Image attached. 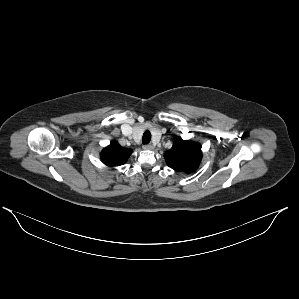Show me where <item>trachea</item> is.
Segmentation results:
<instances>
[{"instance_id":"3493384b","label":"trachea","mask_w":299,"mask_h":299,"mask_svg":"<svg viewBox=\"0 0 299 299\" xmlns=\"http://www.w3.org/2000/svg\"><path fill=\"white\" fill-rule=\"evenodd\" d=\"M151 140V133L149 130H146L143 134L142 142L143 144H148Z\"/></svg>"}]
</instances>
